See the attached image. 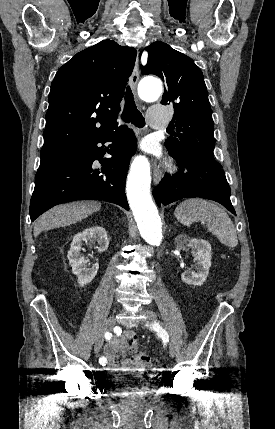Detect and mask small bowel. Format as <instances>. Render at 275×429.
Listing matches in <instances>:
<instances>
[{
    "label": "small bowel",
    "instance_id": "c3829d8e",
    "mask_svg": "<svg viewBox=\"0 0 275 429\" xmlns=\"http://www.w3.org/2000/svg\"><path fill=\"white\" fill-rule=\"evenodd\" d=\"M132 340H136V336L132 331L127 330L105 345L104 357L109 370H140V364L135 360L122 359L125 352L128 351L129 342Z\"/></svg>",
    "mask_w": 275,
    "mask_h": 429
}]
</instances>
